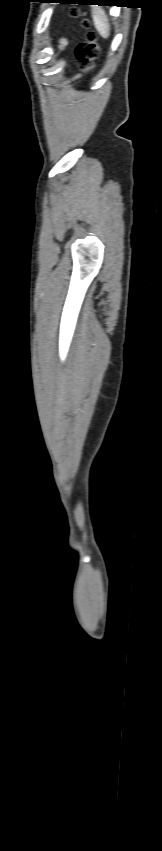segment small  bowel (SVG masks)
<instances>
[{"label": "small bowel", "instance_id": "small-bowel-1", "mask_svg": "<svg viewBox=\"0 0 162 851\" xmlns=\"http://www.w3.org/2000/svg\"><path fill=\"white\" fill-rule=\"evenodd\" d=\"M61 45H62V47H64L66 45V41L63 40Z\"/></svg>", "mask_w": 162, "mask_h": 851}]
</instances>
